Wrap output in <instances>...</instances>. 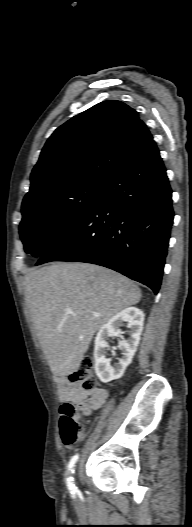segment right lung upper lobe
<instances>
[{
	"label": "right lung upper lobe",
	"instance_id": "obj_1",
	"mask_svg": "<svg viewBox=\"0 0 192 527\" xmlns=\"http://www.w3.org/2000/svg\"><path fill=\"white\" fill-rule=\"evenodd\" d=\"M152 141L134 109L118 100L98 103L50 136L23 202L87 180L107 183Z\"/></svg>",
	"mask_w": 192,
	"mask_h": 527
}]
</instances>
